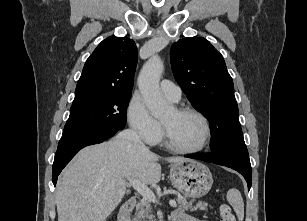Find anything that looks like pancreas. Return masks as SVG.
<instances>
[{"instance_id":"cf45deb5","label":"pancreas","mask_w":307,"mask_h":221,"mask_svg":"<svg viewBox=\"0 0 307 221\" xmlns=\"http://www.w3.org/2000/svg\"><path fill=\"white\" fill-rule=\"evenodd\" d=\"M177 202L178 210L180 211H196L197 209L206 211L208 206L207 203L201 201L193 205V200L188 201L185 196H181L180 194L177 195ZM151 209L152 207L148 201L141 200L136 206L133 221H155Z\"/></svg>"}]
</instances>
